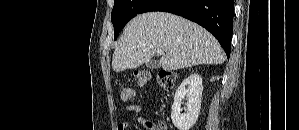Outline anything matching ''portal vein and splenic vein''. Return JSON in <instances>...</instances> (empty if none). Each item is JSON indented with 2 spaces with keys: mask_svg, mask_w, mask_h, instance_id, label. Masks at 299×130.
Segmentation results:
<instances>
[{
  "mask_svg": "<svg viewBox=\"0 0 299 130\" xmlns=\"http://www.w3.org/2000/svg\"><path fill=\"white\" fill-rule=\"evenodd\" d=\"M157 54H159V55H163V54H164V50H162V49L158 50V51H157Z\"/></svg>",
  "mask_w": 299,
  "mask_h": 130,
  "instance_id": "obj_1",
  "label": "portal vein and splenic vein"
}]
</instances>
